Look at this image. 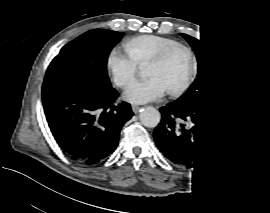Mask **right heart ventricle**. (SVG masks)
<instances>
[{
  "label": "right heart ventricle",
  "instance_id": "obj_1",
  "mask_svg": "<svg viewBox=\"0 0 270 213\" xmlns=\"http://www.w3.org/2000/svg\"><path fill=\"white\" fill-rule=\"evenodd\" d=\"M177 46L179 43L174 39L149 34L133 39L127 45V53L136 64L148 65L158 54Z\"/></svg>",
  "mask_w": 270,
  "mask_h": 213
}]
</instances>
